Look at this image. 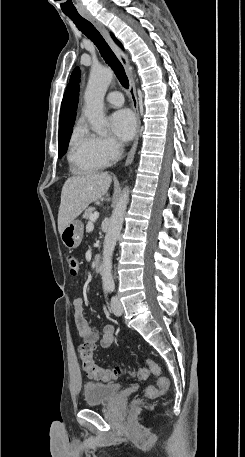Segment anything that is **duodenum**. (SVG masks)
Masks as SVG:
<instances>
[{"label":"duodenum","instance_id":"410a0bca","mask_svg":"<svg viewBox=\"0 0 245 457\" xmlns=\"http://www.w3.org/2000/svg\"><path fill=\"white\" fill-rule=\"evenodd\" d=\"M102 258L100 255H96L93 258V267L95 270H99L101 268Z\"/></svg>","mask_w":245,"mask_h":457}]
</instances>
